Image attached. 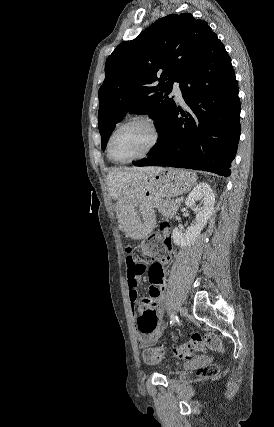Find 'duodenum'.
Segmentation results:
<instances>
[{"label": "duodenum", "mask_w": 274, "mask_h": 427, "mask_svg": "<svg viewBox=\"0 0 274 427\" xmlns=\"http://www.w3.org/2000/svg\"><path fill=\"white\" fill-rule=\"evenodd\" d=\"M166 244H167V245H170V244H171V241H170V239H169V238H167V240H166Z\"/></svg>", "instance_id": "410a0bca"}]
</instances>
